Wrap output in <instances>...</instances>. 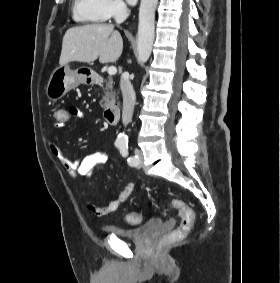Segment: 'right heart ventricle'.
I'll return each mask as SVG.
<instances>
[{
    "instance_id": "e07e8e85",
    "label": "right heart ventricle",
    "mask_w": 280,
    "mask_h": 283,
    "mask_svg": "<svg viewBox=\"0 0 280 283\" xmlns=\"http://www.w3.org/2000/svg\"><path fill=\"white\" fill-rule=\"evenodd\" d=\"M100 0H74L73 18L82 23H101L106 20L100 10Z\"/></svg>"
}]
</instances>
